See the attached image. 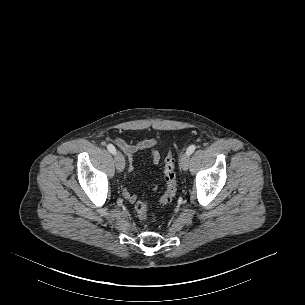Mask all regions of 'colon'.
<instances>
[{"label":"colon","instance_id":"obj_1","mask_svg":"<svg viewBox=\"0 0 305 305\" xmlns=\"http://www.w3.org/2000/svg\"><path fill=\"white\" fill-rule=\"evenodd\" d=\"M164 176L166 189L162 197L159 199V205L165 206L170 204L177 193V179L175 173V160L172 152H169L164 160ZM147 193L143 192L141 198L135 203V211L138 217L142 220L148 219Z\"/></svg>","mask_w":305,"mask_h":305}]
</instances>
